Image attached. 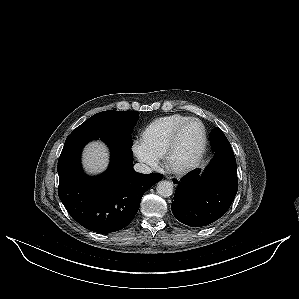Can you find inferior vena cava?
I'll use <instances>...</instances> for the list:
<instances>
[{
	"instance_id": "1",
	"label": "inferior vena cava",
	"mask_w": 299,
	"mask_h": 299,
	"mask_svg": "<svg viewBox=\"0 0 299 299\" xmlns=\"http://www.w3.org/2000/svg\"><path fill=\"white\" fill-rule=\"evenodd\" d=\"M134 170L136 172L142 173V174H149V173L152 172V169L148 165H146L144 163H136L134 165Z\"/></svg>"
}]
</instances>
